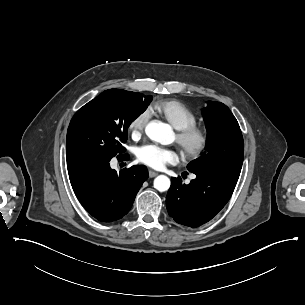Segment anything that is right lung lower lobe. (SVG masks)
I'll use <instances>...</instances> for the list:
<instances>
[{"instance_id": "1", "label": "right lung lower lobe", "mask_w": 305, "mask_h": 305, "mask_svg": "<svg viewBox=\"0 0 305 305\" xmlns=\"http://www.w3.org/2000/svg\"><path fill=\"white\" fill-rule=\"evenodd\" d=\"M67 168L78 200L101 222L116 221L126 215L141 185L148 178V170L142 165L132 166L117 174L110 168L109 161L79 159L67 161Z\"/></svg>"}]
</instances>
